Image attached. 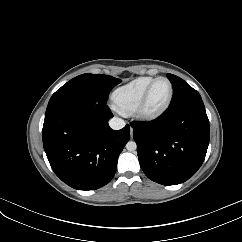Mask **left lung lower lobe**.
<instances>
[{
	"instance_id": "obj_1",
	"label": "left lung lower lobe",
	"mask_w": 242,
	"mask_h": 242,
	"mask_svg": "<svg viewBox=\"0 0 242 242\" xmlns=\"http://www.w3.org/2000/svg\"><path fill=\"white\" fill-rule=\"evenodd\" d=\"M139 163L162 185L185 182L202 165L209 144V120L201 98L169 105L158 118L133 122Z\"/></svg>"
}]
</instances>
